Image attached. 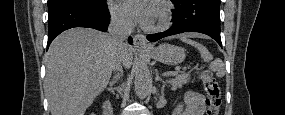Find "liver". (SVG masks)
<instances>
[{"instance_id": "obj_1", "label": "liver", "mask_w": 285, "mask_h": 115, "mask_svg": "<svg viewBox=\"0 0 285 115\" xmlns=\"http://www.w3.org/2000/svg\"><path fill=\"white\" fill-rule=\"evenodd\" d=\"M116 55V47L108 35L94 29L73 28L57 36L45 55L44 84L51 115H84L106 88ZM132 61L133 49L126 45L122 62L130 68Z\"/></svg>"}]
</instances>
